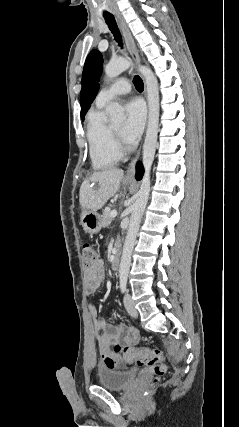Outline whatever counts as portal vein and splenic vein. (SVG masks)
<instances>
[{
	"instance_id": "1",
	"label": "portal vein and splenic vein",
	"mask_w": 239,
	"mask_h": 427,
	"mask_svg": "<svg viewBox=\"0 0 239 427\" xmlns=\"http://www.w3.org/2000/svg\"><path fill=\"white\" fill-rule=\"evenodd\" d=\"M110 216L112 218H115L117 216V211L116 210H112L111 213H110Z\"/></svg>"
}]
</instances>
